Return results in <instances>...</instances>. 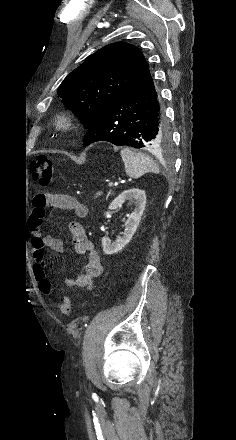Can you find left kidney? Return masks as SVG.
Masks as SVG:
<instances>
[{
  "label": "left kidney",
  "mask_w": 236,
  "mask_h": 440,
  "mask_svg": "<svg viewBox=\"0 0 236 440\" xmlns=\"http://www.w3.org/2000/svg\"><path fill=\"white\" fill-rule=\"evenodd\" d=\"M134 202L135 209L127 215L125 222V230L123 236L117 237L115 241H111L108 237L102 238L103 251L107 255L114 254L122 250L132 239L137 227L140 223L146 205V194L144 190L132 188L123 191L109 205L110 210H116L126 201Z\"/></svg>",
  "instance_id": "5707ae66"
}]
</instances>
